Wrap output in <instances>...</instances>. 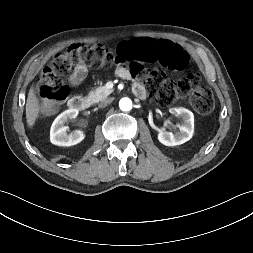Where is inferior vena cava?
Returning <instances> with one entry per match:
<instances>
[{
    "mask_svg": "<svg viewBox=\"0 0 253 253\" xmlns=\"http://www.w3.org/2000/svg\"><path fill=\"white\" fill-rule=\"evenodd\" d=\"M111 101H112L111 99H103V100H101V101L99 102L98 107H99V108H104V107H106L108 104H110Z\"/></svg>",
    "mask_w": 253,
    "mask_h": 253,
    "instance_id": "inferior-vena-cava-1",
    "label": "inferior vena cava"
}]
</instances>
